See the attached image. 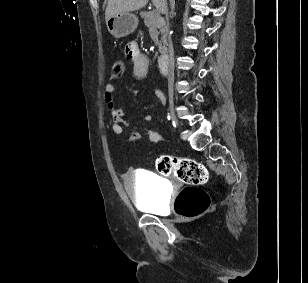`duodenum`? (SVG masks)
Wrapping results in <instances>:
<instances>
[{
  "label": "duodenum",
  "instance_id": "410a0bca",
  "mask_svg": "<svg viewBox=\"0 0 308 283\" xmlns=\"http://www.w3.org/2000/svg\"><path fill=\"white\" fill-rule=\"evenodd\" d=\"M168 64H169V55L165 51L160 55L158 59V66L163 74H166L168 72Z\"/></svg>",
  "mask_w": 308,
  "mask_h": 283
}]
</instances>
